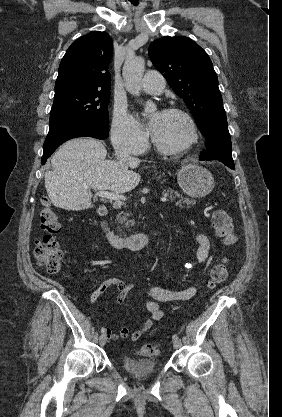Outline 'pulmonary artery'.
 Instances as JSON below:
<instances>
[{
  "label": "pulmonary artery",
  "instance_id": "pulmonary-artery-1",
  "mask_svg": "<svg viewBox=\"0 0 282 417\" xmlns=\"http://www.w3.org/2000/svg\"><path fill=\"white\" fill-rule=\"evenodd\" d=\"M164 87L165 79L156 71L145 74L140 82V89L148 94H160Z\"/></svg>",
  "mask_w": 282,
  "mask_h": 417
}]
</instances>
